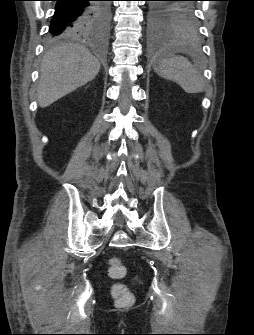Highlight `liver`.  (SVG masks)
I'll use <instances>...</instances> for the list:
<instances>
[{
    "label": "liver",
    "instance_id": "6515ba94",
    "mask_svg": "<svg viewBox=\"0 0 254 335\" xmlns=\"http://www.w3.org/2000/svg\"><path fill=\"white\" fill-rule=\"evenodd\" d=\"M100 70L99 60L83 45L60 43L44 56L37 101L44 108L92 81Z\"/></svg>",
    "mask_w": 254,
    "mask_h": 335
}]
</instances>
